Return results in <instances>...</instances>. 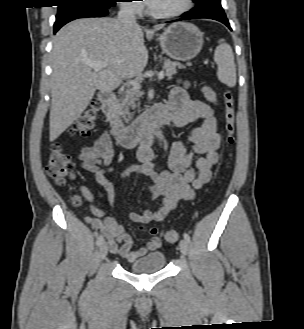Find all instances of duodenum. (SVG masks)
<instances>
[{"instance_id": "duodenum-1", "label": "duodenum", "mask_w": 304, "mask_h": 329, "mask_svg": "<svg viewBox=\"0 0 304 329\" xmlns=\"http://www.w3.org/2000/svg\"><path fill=\"white\" fill-rule=\"evenodd\" d=\"M99 101L102 112L109 122L111 134L124 148L133 147L138 142L149 141L157 128L173 121V114L169 110L164 107H154L145 115L126 124L117 111L116 96L112 91H101Z\"/></svg>"}]
</instances>
